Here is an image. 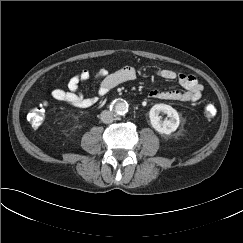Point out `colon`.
<instances>
[{"label": "colon", "instance_id": "obj_1", "mask_svg": "<svg viewBox=\"0 0 243 243\" xmlns=\"http://www.w3.org/2000/svg\"><path fill=\"white\" fill-rule=\"evenodd\" d=\"M44 106H45V104L40 105V106L32 109L28 113L27 119L32 127L37 128L43 123L44 116H45ZM203 112L207 118H213L216 114V108L212 104H207V105H205Z\"/></svg>", "mask_w": 243, "mask_h": 243}]
</instances>
